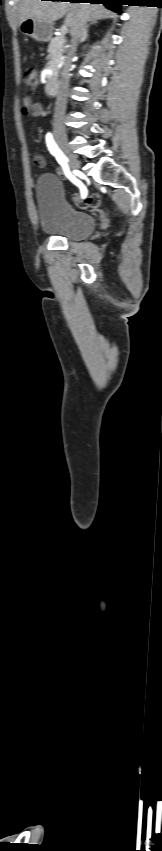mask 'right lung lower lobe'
Here are the masks:
<instances>
[{"label":"right lung lower lobe","mask_w":162,"mask_h":851,"mask_svg":"<svg viewBox=\"0 0 162 851\" xmlns=\"http://www.w3.org/2000/svg\"><path fill=\"white\" fill-rule=\"evenodd\" d=\"M54 1H63V0H54ZM70 2H88L91 4H104L107 8L120 13V5L126 0H69Z\"/></svg>","instance_id":"right-lung-lower-lobe-1"}]
</instances>
